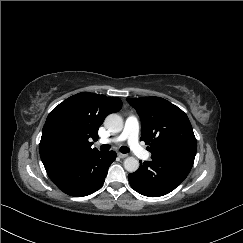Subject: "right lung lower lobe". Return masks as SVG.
<instances>
[{
    "label": "right lung lower lobe",
    "mask_w": 243,
    "mask_h": 243,
    "mask_svg": "<svg viewBox=\"0 0 243 243\" xmlns=\"http://www.w3.org/2000/svg\"><path fill=\"white\" fill-rule=\"evenodd\" d=\"M116 153L96 152L84 158L46 168L54 184L64 193L82 197L97 191L104 183Z\"/></svg>",
    "instance_id": "1"
}]
</instances>
